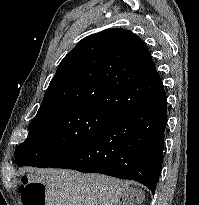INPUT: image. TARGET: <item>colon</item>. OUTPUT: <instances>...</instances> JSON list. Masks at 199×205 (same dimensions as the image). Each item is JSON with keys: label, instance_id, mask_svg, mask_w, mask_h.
<instances>
[{"label": "colon", "instance_id": "5ec220e1", "mask_svg": "<svg viewBox=\"0 0 199 205\" xmlns=\"http://www.w3.org/2000/svg\"><path fill=\"white\" fill-rule=\"evenodd\" d=\"M21 199L24 205H45L44 194L34 183H30L26 178L21 179L19 187Z\"/></svg>", "mask_w": 199, "mask_h": 205}]
</instances>
